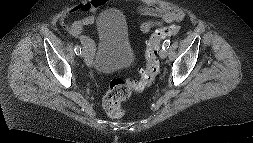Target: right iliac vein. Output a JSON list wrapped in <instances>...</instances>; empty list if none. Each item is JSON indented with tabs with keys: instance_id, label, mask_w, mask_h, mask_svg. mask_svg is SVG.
Listing matches in <instances>:
<instances>
[{
	"instance_id": "63e3f726",
	"label": "right iliac vein",
	"mask_w": 253,
	"mask_h": 143,
	"mask_svg": "<svg viewBox=\"0 0 253 143\" xmlns=\"http://www.w3.org/2000/svg\"><path fill=\"white\" fill-rule=\"evenodd\" d=\"M82 57L85 59V61H90L91 59V53L90 50L87 47L82 48Z\"/></svg>"
}]
</instances>
